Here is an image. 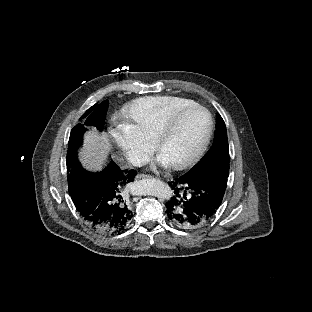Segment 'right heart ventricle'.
<instances>
[{"label": "right heart ventricle", "mask_w": 312, "mask_h": 312, "mask_svg": "<svg viewBox=\"0 0 312 312\" xmlns=\"http://www.w3.org/2000/svg\"><path fill=\"white\" fill-rule=\"evenodd\" d=\"M194 104L195 99L189 93L175 97L171 94L141 93L130 98L125 109L129 113L130 125L135 134L145 144L153 145L159 139V131Z\"/></svg>", "instance_id": "1"}]
</instances>
